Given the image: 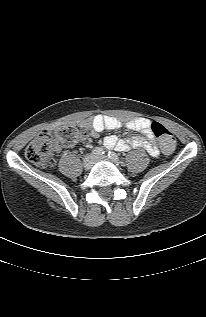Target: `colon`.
<instances>
[{"label": "colon", "mask_w": 206, "mask_h": 317, "mask_svg": "<svg viewBox=\"0 0 206 317\" xmlns=\"http://www.w3.org/2000/svg\"><path fill=\"white\" fill-rule=\"evenodd\" d=\"M152 134L159 141L164 152H171L175 147V137L171 131L159 122L151 124ZM87 135L85 130L64 126L56 131V137L64 146H70ZM56 142L51 133L44 131L26 148V158L33 164L45 166L49 161Z\"/></svg>", "instance_id": "5ec220e1"}]
</instances>
